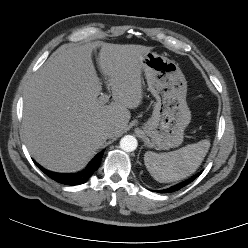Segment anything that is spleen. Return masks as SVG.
Instances as JSON below:
<instances>
[{"label":"spleen","instance_id":"obj_1","mask_svg":"<svg viewBox=\"0 0 248 248\" xmlns=\"http://www.w3.org/2000/svg\"><path fill=\"white\" fill-rule=\"evenodd\" d=\"M210 147L208 139L187 145L173 152L147 151L144 162L151 176L158 182H173L193 174L201 165Z\"/></svg>","mask_w":248,"mask_h":248}]
</instances>
